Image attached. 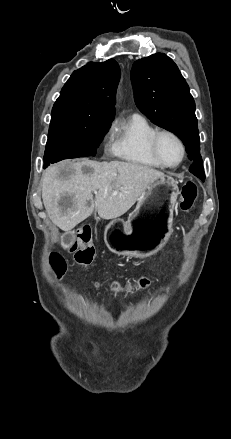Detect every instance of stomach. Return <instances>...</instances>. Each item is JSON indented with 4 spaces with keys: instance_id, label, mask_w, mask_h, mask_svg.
<instances>
[{
    "instance_id": "obj_1",
    "label": "stomach",
    "mask_w": 231,
    "mask_h": 439,
    "mask_svg": "<svg viewBox=\"0 0 231 439\" xmlns=\"http://www.w3.org/2000/svg\"><path fill=\"white\" fill-rule=\"evenodd\" d=\"M178 195V183L170 176L164 175L150 183L126 222L114 219L106 226L104 240L109 250L135 258L158 252L172 233Z\"/></svg>"
}]
</instances>
